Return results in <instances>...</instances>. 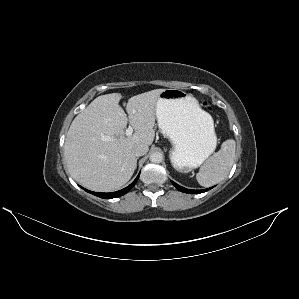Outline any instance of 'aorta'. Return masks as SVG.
<instances>
[{"mask_svg":"<svg viewBox=\"0 0 299 299\" xmlns=\"http://www.w3.org/2000/svg\"><path fill=\"white\" fill-rule=\"evenodd\" d=\"M150 161L152 163H161L163 161V154L160 152H153L150 155Z\"/></svg>","mask_w":299,"mask_h":299,"instance_id":"aorta-1","label":"aorta"}]
</instances>
